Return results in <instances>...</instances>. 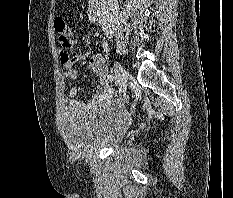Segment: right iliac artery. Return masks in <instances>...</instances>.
I'll return each mask as SVG.
<instances>
[{"mask_svg":"<svg viewBox=\"0 0 233 198\" xmlns=\"http://www.w3.org/2000/svg\"><path fill=\"white\" fill-rule=\"evenodd\" d=\"M108 79L110 81H114L116 79V76H114L113 74H110V75H108Z\"/></svg>","mask_w":233,"mask_h":198,"instance_id":"obj_1","label":"right iliac artery"}]
</instances>
